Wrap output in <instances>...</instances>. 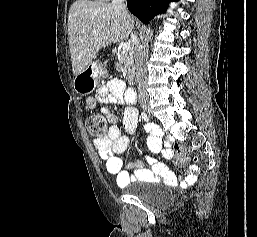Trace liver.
<instances>
[{
  "label": "liver",
  "mask_w": 257,
  "mask_h": 237,
  "mask_svg": "<svg viewBox=\"0 0 257 237\" xmlns=\"http://www.w3.org/2000/svg\"><path fill=\"white\" fill-rule=\"evenodd\" d=\"M134 18L109 3L75 1L68 15V40L73 74L81 73L100 49L128 38ZM95 31V33H93Z\"/></svg>",
  "instance_id": "6515ba94"
}]
</instances>
